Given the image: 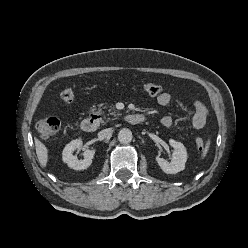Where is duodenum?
Returning <instances> with one entry per match:
<instances>
[{"label": "duodenum", "mask_w": 248, "mask_h": 248, "mask_svg": "<svg viewBox=\"0 0 248 248\" xmlns=\"http://www.w3.org/2000/svg\"><path fill=\"white\" fill-rule=\"evenodd\" d=\"M124 120L132 125H137L146 120L145 115L138 113L126 114ZM101 124L100 118L96 114H90L81 121L80 128L85 133L95 132Z\"/></svg>", "instance_id": "obj_1"}]
</instances>
